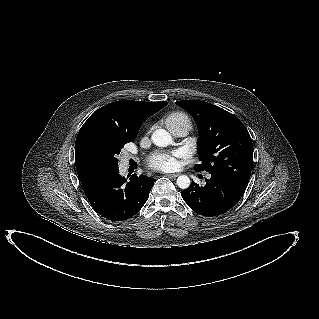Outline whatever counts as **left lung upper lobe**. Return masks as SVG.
Returning a JSON list of instances; mask_svg holds the SVG:
<instances>
[{
  "instance_id": "5c2ea615",
  "label": "left lung upper lobe",
  "mask_w": 319,
  "mask_h": 319,
  "mask_svg": "<svg viewBox=\"0 0 319 319\" xmlns=\"http://www.w3.org/2000/svg\"><path fill=\"white\" fill-rule=\"evenodd\" d=\"M194 118L199 132L200 164L196 171L228 176L248 185L253 166L251 137L243 123L233 114L207 102H176Z\"/></svg>"
}]
</instances>
